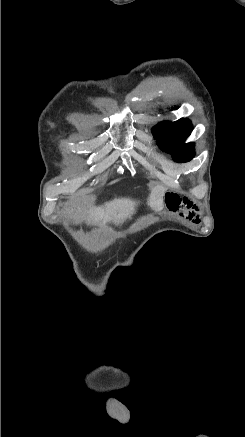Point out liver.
<instances>
[{
	"instance_id": "6515ba94",
	"label": "liver",
	"mask_w": 245,
	"mask_h": 437,
	"mask_svg": "<svg viewBox=\"0 0 245 437\" xmlns=\"http://www.w3.org/2000/svg\"><path fill=\"white\" fill-rule=\"evenodd\" d=\"M148 197V205L155 211H161L164 207L163 196L166 188L157 185L151 187ZM138 202L130 198H119L106 203L103 207L91 208L89 211L88 221L91 224L113 222L115 224L123 223L136 212Z\"/></svg>"
}]
</instances>
